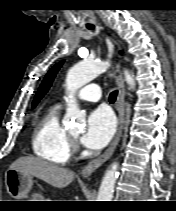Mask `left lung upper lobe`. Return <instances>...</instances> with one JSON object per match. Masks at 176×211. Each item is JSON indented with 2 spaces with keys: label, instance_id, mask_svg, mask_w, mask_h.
I'll list each match as a JSON object with an SVG mask.
<instances>
[{
  "label": "left lung upper lobe",
  "instance_id": "left-lung-upper-lobe-1",
  "mask_svg": "<svg viewBox=\"0 0 176 211\" xmlns=\"http://www.w3.org/2000/svg\"><path fill=\"white\" fill-rule=\"evenodd\" d=\"M63 61L54 65L50 71L47 73V75L45 76L42 84L40 85L36 96L33 100V107L36 106V104L39 102V100L44 96V94L48 91L49 87L51 86V83L56 75V73L58 72L59 68L61 67Z\"/></svg>",
  "mask_w": 176,
  "mask_h": 211
}]
</instances>
